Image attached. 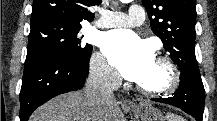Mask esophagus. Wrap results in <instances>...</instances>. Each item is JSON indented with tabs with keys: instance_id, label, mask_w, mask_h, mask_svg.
<instances>
[{
	"instance_id": "34e87169",
	"label": "esophagus",
	"mask_w": 217,
	"mask_h": 121,
	"mask_svg": "<svg viewBox=\"0 0 217 121\" xmlns=\"http://www.w3.org/2000/svg\"><path fill=\"white\" fill-rule=\"evenodd\" d=\"M125 103H127L128 105H133V102L130 99H126Z\"/></svg>"
}]
</instances>
